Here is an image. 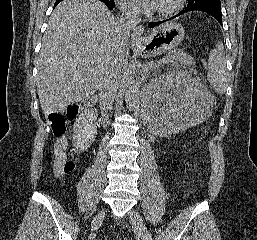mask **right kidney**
Returning <instances> with one entry per match:
<instances>
[{
    "label": "right kidney",
    "mask_w": 257,
    "mask_h": 240,
    "mask_svg": "<svg viewBox=\"0 0 257 240\" xmlns=\"http://www.w3.org/2000/svg\"><path fill=\"white\" fill-rule=\"evenodd\" d=\"M94 115L86 110L80 114L73 127V145L77 150L83 151L90 147L96 136V127L93 125Z\"/></svg>",
    "instance_id": "obj_1"
}]
</instances>
